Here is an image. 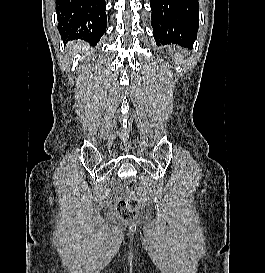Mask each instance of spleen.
<instances>
[{"instance_id":"1","label":"spleen","mask_w":265,"mask_h":273,"mask_svg":"<svg viewBox=\"0 0 265 273\" xmlns=\"http://www.w3.org/2000/svg\"><path fill=\"white\" fill-rule=\"evenodd\" d=\"M175 61H176V63H178V64H181V63H182V56H181V54H179V53H176V54H175Z\"/></svg>"}]
</instances>
